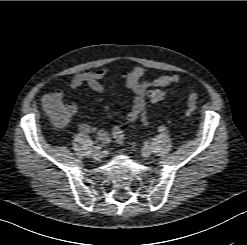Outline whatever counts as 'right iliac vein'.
Listing matches in <instances>:
<instances>
[{
  "label": "right iliac vein",
  "instance_id": "63e3f726",
  "mask_svg": "<svg viewBox=\"0 0 247 245\" xmlns=\"http://www.w3.org/2000/svg\"><path fill=\"white\" fill-rule=\"evenodd\" d=\"M92 157L95 159V160H99L102 158V153L101 151H94Z\"/></svg>",
  "mask_w": 247,
  "mask_h": 245
}]
</instances>
